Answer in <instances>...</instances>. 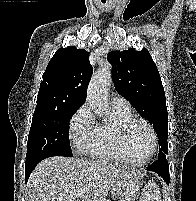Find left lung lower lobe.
<instances>
[{"instance_id": "1", "label": "left lung lower lobe", "mask_w": 196, "mask_h": 201, "mask_svg": "<svg viewBox=\"0 0 196 201\" xmlns=\"http://www.w3.org/2000/svg\"><path fill=\"white\" fill-rule=\"evenodd\" d=\"M148 170L159 174L165 180V182L169 184V165L166 156L160 157L154 164H152L148 168Z\"/></svg>"}]
</instances>
